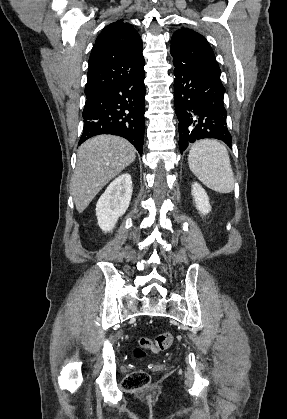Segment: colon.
Masks as SVG:
<instances>
[{
    "instance_id": "obj_1",
    "label": "colon",
    "mask_w": 287,
    "mask_h": 419,
    "mask_svg": "<svg viewBox=\"0 0 287 419\" xmlns=\"http://www.w3.org/2000/svg\"><path fill=\"white\" fill-rule=\"evenodd\" d=\"M174 341V336L171 332L161 333L154 338L141 337L134 349V356L136 358H143L147 352L159 353L168 349ZM150 382V377L147 372L137 370L128 374L122 383L125 390H135L146 387Z\"/></svg>"
}]
</instances>
